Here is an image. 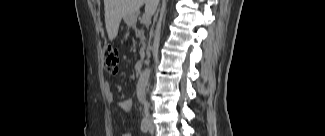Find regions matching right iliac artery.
I'll list each match as a JSON object with an SVG mask.
<instances>
[{"label":"right iliac artery","mask_w":325,"mask_h":136,"mask_svg":"<svg viewBox=\"0 0 325 136\" xmlns=\"http://www.w3.org/2000/svg\"><path fill=\"white\" fill-rule=\"evenodd\" d=\"M141 130L142 132L146 133L148 130V120L144 117L141 122Z\"/></svg>","instance_id":"1"}]
</instances>
